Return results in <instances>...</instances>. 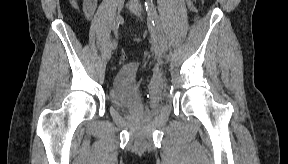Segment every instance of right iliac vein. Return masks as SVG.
<instances>
[{
  "label": "right iliac vein",
  "instance_id": "63e3f726",
  "mask_svg": "<svg viewBox=\"0 0 288 164\" xmlns=\"http://www.w3.org/2000/svg\"><path fill=\"white\" fill-rule=\"evenodd\" d=\"M120 22H122V19H121L120 16H117V17H116V20H115V22H114V24H118V23H120ZM111 54H112V50L109 49V50H108V53H107V58H108V59H110Z\"/></svg>",
  "mask_w": 288,
  "mask_h": 164
}]
</instances>
